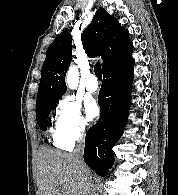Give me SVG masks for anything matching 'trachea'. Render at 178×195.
Wrapping results in <instances>:
<instances>
[{
	"label": "trachea",
	"instance_id": "1",
	"mask_svg": "<svg viewBox=\"0 0 178 195\" xmlns=\"http://www.w3.org/2000/svg\"><path fill=\"white\" fill-rule=\"evenodd\" d=\"M94 71H95L97 78L101 81L102 80V69H101V64L99 62L95 64Z\"/></svg>",
	"mask_w": 178,
	"mask_h": 195
}]
</instances>
